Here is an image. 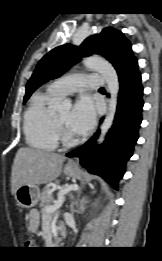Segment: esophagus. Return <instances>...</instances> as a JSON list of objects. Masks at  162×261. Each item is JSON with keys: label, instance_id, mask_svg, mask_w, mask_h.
I'll list each match as a JSON object with an SVG mask.
<instances>
[{"label": "esophagus", "instance_id": "obj_1", "mask_svg": "<svg viewBox=\"0 0 162 261\" xmlns=\"http://www.w3.org/2000/svg\"><path fill=\"white\" fill-rule=\"evenodd\" d=\"M78 162V159L76 158L75 161L71 162L70 165L74 166Z\"/></svg>", "mask_w": 162, "mask_h": 261}]
</instances>
